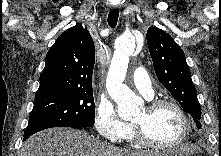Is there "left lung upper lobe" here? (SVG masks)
Returning a JSON list of instances; mask_svg holds the SVG:
<instances>
[{"label": "left lung upper lobe", "instance_id": "1", "mask_svg": "<svg viewBox=\"0 0 221 156\" xmlns=\"http://www.w3.org/2000/svg\"><path fill=\"white\" fill-rule=\"evenodd\" d=\"M146 37L157 78L201 128V107L183 50L156 26Z\"/></svg>", "mask_w": 221, "mask_h": 156}]
</instances>
